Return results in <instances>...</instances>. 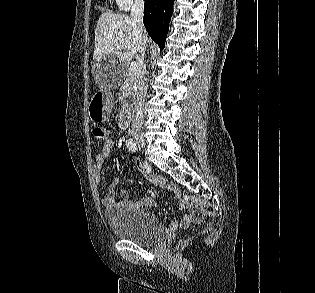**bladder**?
<instances>
[{
	"label": "bladder",
	"instance_id": "31cf9c89",
	"mask_svg": "<svg viewBox=\"0 0 315 293\" xmlns=\"http://www.w3.org/2000/svg\"><path fill=\"white\" fill-rule=\"evenodd\" d=\"M104 216L115 236L140 245L154 243L163 233L155 218L128 204H116L108 208Z\"/></svg>",
	"mask_w": 315,
	"mask_h": 293
}]
</instances>
